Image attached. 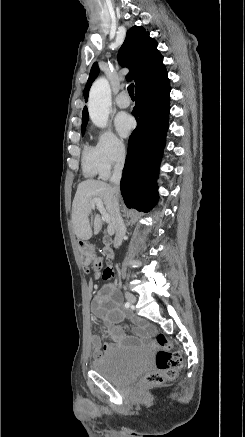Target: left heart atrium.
Segmentation results:
<instances>
[{"label": "left heart atrium", "instance_id": "1", "mask_svg": "<svg viewBox=\"0 0 245 437\" xmlns=\"http://www.w3.org/2000/svg\"><path fill=\"white\" fill-rule=\"evenodd\" d=\"M117 131L124 137L128 136L133 128V119L127 113H120L115 119Z\"/></svg>", "mask_w": 245, "mask_h": 437}]
</instances>
